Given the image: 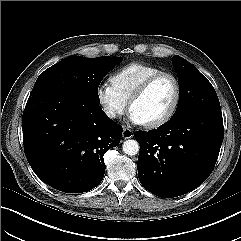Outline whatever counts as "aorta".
<instances>
[{"label":"aorta","instance_id":"aorta-1","mask_svg":"<svg viewBox=\"0 0 241 241\" xmlns=\"http://www.w3.org/2000/svg\"><path fill=\"white\" fill-rule=\"evenodd\" d=\"M122 147L123 152L129 156L136 155L139 152V144L133 139L126 140Z\"/></svg>","mask_w":241,"mask_h":241}]
</instances>
